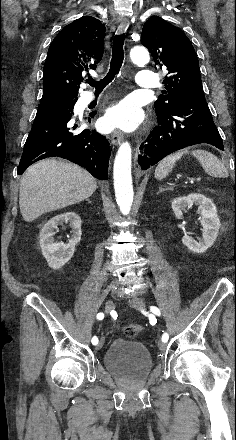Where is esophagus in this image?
I'll return each mask as SVG.
<instances>
[{"label": "esophagus", "mask_w": 236, "mask_h": 440, "mask_svg": "<svg viewBox=\"0 0 236 440\" xmlns=\"http://www.w3.org/2000/svg\"><path fill=\"white\" fill-rule=\"evenodd\" d=\"M129 26V21L125 17L120 18V23L118 25V33H123L127 30ZM123 140V135L120 131H114L111 135V142L113 145H119Z\"/></svg>", "instance_id": "34e87169"}]
</instances>
